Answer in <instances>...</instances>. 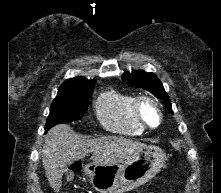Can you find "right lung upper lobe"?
Returning <instances> with one entry per match:
<instances>
[{
    "mask_svg": "<svg viewBox=\"0 0 221 193\" xmlns=\"http://www.w3.org/2000/svg\"><path fill=\"white\" fill-rule=\"evenodd\" d=\"M95 83L94 80H87L83 77L71 78L63 82L59 87V90L68 88L89 87Z\"/></svg>",
    "mask_w": 221,
    "mask_h": 193,
    "instance_id": "cb5924a9",
    "label": "right lung upper lobe"
}]
</instances>
